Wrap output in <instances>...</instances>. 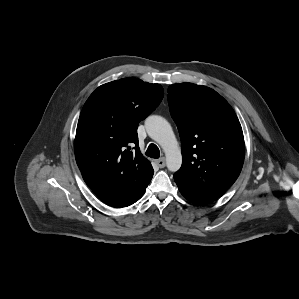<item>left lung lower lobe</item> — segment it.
<instances>
[{
  "label": "left lung lower lobe",
  "instance_id": "obj_1",
  "mask_svg": "<svg viewBox=\"0 0 299 299\" xmlns=\"http://www.w3.org/2000/svg\"><path fill=\"white\" fill-rule=\"evenodd\" d=\"M175 182H176L181 194L192 203L200 204V205L208 204V203L215 201L217 198H219L212 194L205 193L203 191L192 188V187L188 186L187 184L178 181L177 179H175Z\"/></svg>",
  "mask_w": 299,
  "mask_h": 299
}]
</instances>
